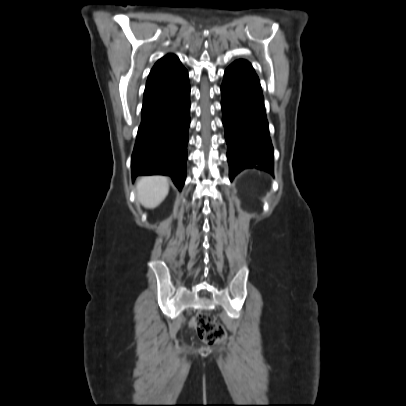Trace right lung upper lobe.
I'll return each instance as SVG.
<instances>
[{"mask_svg":"<svg viewBox=\"0 0 406 406\" xmlns=\"http://www.w3.org/2000/svg\"><path fill=\"white\" fill-rule=\"evenodd\" d=\"M181 65L182 64L175 55L169 54L161 58L152 68L147 79L146 87L165 80Z\"/></svg>","mask_w":406,"mask_h":406,"instance_id":"obj_1","label":"right lung upper lobe"}]
</instances>
